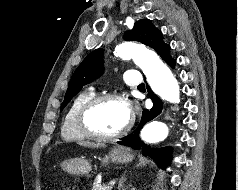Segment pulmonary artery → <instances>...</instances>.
I'll return each mask as SVG.
<instances>
[{
	"instance_id": "e3ab8cb5",
	"label": "pulmonary artery",
	"mask_w": 238,
	"mask_h": 190,
	"mask_svg": "<svg viewBox=\"0 0 238 190\" xmlns=\"http://www.w3.org/2000/svg\"><path fill=\"white\" fill-rule=\"evenodd\" d=\"M124 81L128 86L136 87L142 83V78L138 71L129 70L124 75Z\"/></svg>"
}]
</instances>
